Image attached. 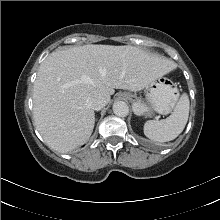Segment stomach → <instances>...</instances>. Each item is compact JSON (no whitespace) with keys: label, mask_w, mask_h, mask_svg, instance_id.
<instances>
[{"label":"stomach","mask_w":220,"mask_h":220,"mask_svg":"<svg viewBox=\"0 0 220 220\" xmlns=\"http://www.w3.org/2000/svg\"><path fill=\"white\" fill-rule=\"evenodd\" d=\"M124 96L132 101L137 115H151L153 112L159 114L170 113L178 100L179 94L174 82L166 77H159L146 88L147 100L150 106L134 99L129 93Z\"/></svg>","instance_id":"1"}]
</instances>
